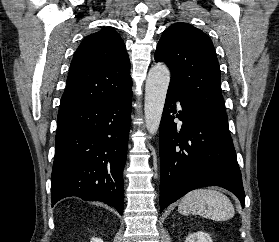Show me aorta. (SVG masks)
Returning <instances> with one entry per match:
<instances>
[{
    "label": "aorta",
    "instance_id": "1",
    "mask_svg": "<svg viewBox=\"0 0 279 242\" xmlns=\"http://www.w3.org/2000/svg\"><path fill=\"white\" fill-rule=\"evenodd\" d=\"M170 77V71L164 64L151 67L147 76L144 112L146 128L152 135L157 133L160 126Z\"/></svg>",
    "mask_w": 279,
    "mask_h": 242
}]
</instances>
